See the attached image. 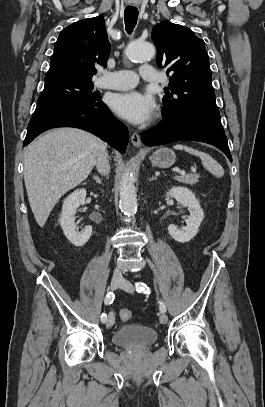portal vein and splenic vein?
Listing matches in <instances>:
<instances>
[{
  "instance_id": "obj_1",
  "label": "portal vein and splenic vein",
  "mask_w": 265,
  "mask_h": 407,
  "mask_svg": "<svg viewBox=\"0 0 265 407\" xmlns=\"http://www.w3.org/2000/svg\"><path fill=\"white\" fill-rule=\"evenodd\" d=\"M192 171H195V169H192ZM179 174H185V172L184 171H180V170H178L177 171Z\"/></svg>"
}]
</instances>
